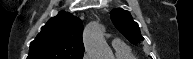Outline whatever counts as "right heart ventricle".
Listing matches in <instances>:
<instances>
[{"label": "right heart ventricle", "instance_id": "obj_1", "mask_svg": "<svg viewBox=\"0 0 193 59\" xmlns=\"http://www.w3.org/2000/svg\"><path fill=\"white\" fill-rule=\"evenodd\" d=\"M115 59H137L130 48L115 50Z\"/></svg>", "mask_w": 193, "mask_h": 59}]
</instances>
